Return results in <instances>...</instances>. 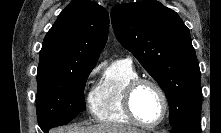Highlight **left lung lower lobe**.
<instances>
[{
    "label": "left lung lower lobe",
    "instance_id": "1",
    "mask_svg": "<svg viewBox=\"0 0 221 133\" xmlns=\"http://www.w3.org/2000/svg\"><path fill=\"white\" fill-rule=\"evenodd\" d=\"M171 133H201L200 119L186 121L173 129Z\"/></svg>",
    "mask_w": 221,
    "mask_h": 133
}]
</instances>
